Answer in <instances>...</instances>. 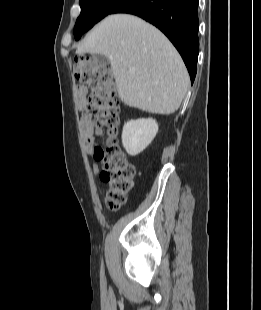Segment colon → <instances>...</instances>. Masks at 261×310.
<instances>
[{
    "mask_svg": "<svg viewBox=\"0 0 261 310\" xmlns=\"http://www.w3.org/2000/svg\"><path fill=\"white\" fill-rule=\"evenodd\" d=\"M76 80L91 90L82 102L98 133L106 135L104 147L96 146L93 156L102 162L101 180L108 185L106 207L115 211L128 199L134 186V166L127 161L118 141L120 100L109 68L91 56L76 57L74 63Z\"/></svg>",
    "mask_w": 261,
    "mask_h": 310,
    "instance_id": "colon-1",
    "label": "colon"
}]
</instances>
